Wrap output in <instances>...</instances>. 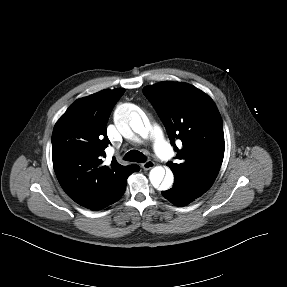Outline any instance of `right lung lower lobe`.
Listing matches in <instances>:
<instances>
[{"mask_svg": "<svg viewBox=\"0 0 287 287\" xmlns=\"http://www.w3.org/2000/svg\"><path fill=\"white\" fill-rule=\"evenodd\" d=\"M124 191H125V189L120 193V195H119V197L116 199V201L121 198V196L123 195ZM116 201H115V202H116Z\"/></svg>", "mask_w": 287, "mask_h": 287, "instance_id": "98d812e1", "label": "right lung lower lobe"}]
</instances>
